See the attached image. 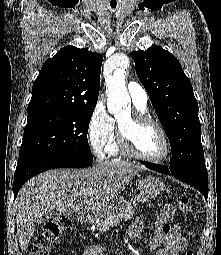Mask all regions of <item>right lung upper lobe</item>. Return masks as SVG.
Masks as SVG:
<instances>
[{
  "label": "right lung upper lobe",
  "mask_w": 221,
  "mask_h": 255,
  "mask_svg": "<svg viewBox=\"0 0 221 255\" xmlns=\"http://www.w3.org/2000/svg\"><path fill=\"white\" fill-rule=\"evenodd\" d=\"M103 57L66 46L48 59L32 87L28 112L43 109L95 108Z\"/></svg>",
  "instance_id": "obj_1"
}]
</instances>
